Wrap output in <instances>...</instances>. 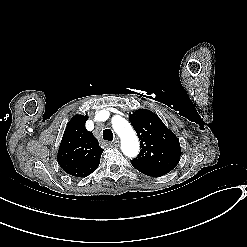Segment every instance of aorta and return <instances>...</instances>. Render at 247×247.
<instances>
[{
	"mask_svg": "<svg viewBox=\"0 0 247 247\" xmlns=\"http://www.w3.org/2000/svg\"><path fill=\"white\" fill-rule=\"evenodd\" d=\"M112 127L121 139V150L127 157H135L139 153V140L130 123L121 116H114Z\"/></svg>",
	"mask_w": 247,
	"mask_h": 247,
	"instance_id": "762f6f07",
	"label": "aorta"
}]
</instances>
